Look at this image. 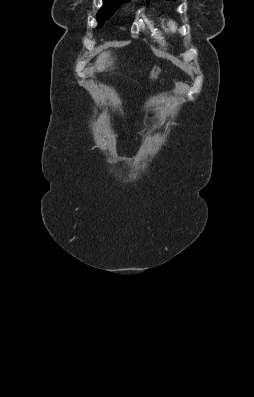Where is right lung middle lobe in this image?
Segmentation results:
<instances>
[{"mask_svg":"<svg viewBox=\"0 0 254 397\" xmlns=\"http://www.w3.org/2000/svg\"><path fill=\"white\" fill-rule=\"evenodd\" d=\"M129 0H104L103 7L97 13L98 28L102 27L106 20H108L116 11L118 7Z\"/></svg>","mask_w":254,"mask_h":397,"instance_id":"dd1d6c3e","label":"right lung middle lobe"}]
</instances>
